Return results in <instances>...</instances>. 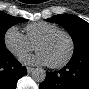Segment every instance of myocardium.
<instances>
[{"mask_svg":"<svg viewBox=\"0 0 89 89\" xmlns=\"http://www.w3.org/2000/svg\"><path fill=\"white\" fill-rule=\"evenodd\" d=\"M57 35H64L67 37V39L69 41V52H68L67 56L61 62L49 64V66L51 68H56V69L66 66L73 58V55L75 52V42H74L72 35L65 30L59 29V30H55L50 33H47L46 35L41 37L35 44V49L38 51V47L40 44L51 40L52 38H54Z\"/></svg>","mask_w":89,"mask_h":89,"instance_id":"1","label":"myocardium"}]
</instances>
